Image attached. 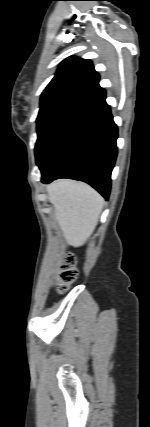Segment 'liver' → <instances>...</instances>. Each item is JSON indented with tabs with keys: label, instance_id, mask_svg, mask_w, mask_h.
<instances>
[{
	"label": "liver",
	"instance_id": "6515ba94",
	"mask_svg": "<svg viewBox=\"0 0 150 427\" xmlns=\"http://www.w3.org/2000/svg\"><path fill=\"white\" fill-rule=\"evenodd\" d=\"M46 191L66 242L82 246L96 228L103 198L89 185L72 180L55 181Z\"/></svg>",
	"mask_w": 150,
	"mask_h": 427
}]
</instances>
